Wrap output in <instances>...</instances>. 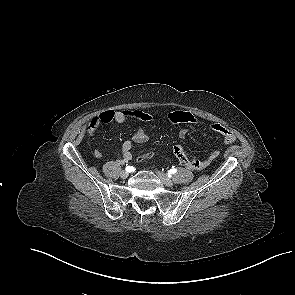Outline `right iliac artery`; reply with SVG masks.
I'll use <instances>...</instances> for the list:
<instances>
[{
	"label": "right iliac artery",
	"instance_id": "1",
	"mask_svg": "<svg viewBox=\"0 0 295 295\" xmlns=\"http://www.w3.org/2000/svg\"><path fill=\"white\" fill-rule=\"evenodd\" d=\"M125 170H126L127 172H132V171H133V167H132V166H127V167L125 168Z\"/></svg>",
	"mask_w": 295,
	"mask_h": 295
}]
</instances>
